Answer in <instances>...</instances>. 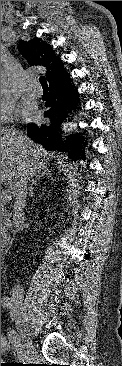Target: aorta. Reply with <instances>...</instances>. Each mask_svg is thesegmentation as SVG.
Masks as SVG:
<instances>
[{"label": "aorta", "mask_w": 122, "mask_h": 366, "mask_svg": "<svg viewBox=\"0 0 122 366\" xmlns=\"http://www.w3.org/2000/svg\"><path fill=\"white\" fill-rule=\"evenodd\" d=\"M8 87L7 77L4 71H1V92L5 91Z\"/></svg>", "instance_id": "1"}]
</instances>
